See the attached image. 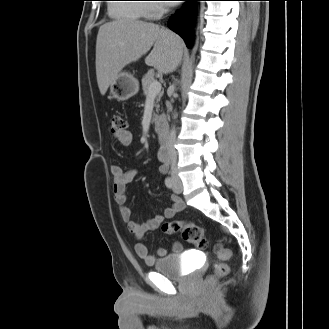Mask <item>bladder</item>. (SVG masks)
<instances>
[{"instance_id": "bladder-1", "label": "bladder", "mask_w": 329, "mask_h": 329, "mask_svg": "<svg viewBox=\"0 0 329 329\" xmlns=\"http://www.w3.org/2000/svg\"><path fill=\"white\" fill-rule=\"evenodd\" d=\"M153 269L169 279H181L187 273L183 270V259L178 254H166L153 263Z\"/></svg>"}]
</instances>
